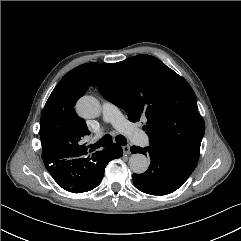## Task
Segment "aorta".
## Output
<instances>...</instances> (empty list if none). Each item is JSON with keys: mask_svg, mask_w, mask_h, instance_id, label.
<instances>
[{"mask_svg": "<svg viewBox=\"0 0 241 241\" xmlns=\"http://www.w3.org/2000/svg\"><path fill=\"white\" fill-rule=\"evenodd\" d=\"M78 114L87 119L99 117L101 114V104L93 96L85 95L81 97L76 104ZM129 167L132 172L142 174L149 167L148 158L140 153L133 154L129 159Z\"/></svg>", "mask_w": 241, "mask_h": 241, "instance_id": "aorta-1", "label": "aorta"}]
</instances>
